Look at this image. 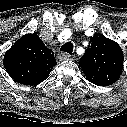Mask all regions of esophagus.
<instances>
[{
  "label": "esophagus",
  "mask_w": 127,
  "mask_h": 127,
  "mask_svg": "<svg viewBox=\"0 0 127 127\" xmlns=\"http://www.w3.org/2000/svg\"><path fill=\"white\" fill-rule=\"evenodd\" d=\"M71 55L70 54H67L65 52H61L58 54L57 58L60 60V61H63V60H68L70 59Z\"/></svg>",
  "instance_id": "1"
}]
</instances>
